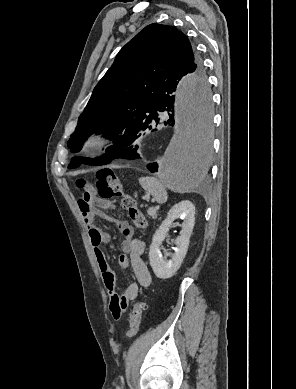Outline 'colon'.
<instances>
[{"label": "colon", "mask_w": 296, "mask_h": 389, "mask_svg": "<svg viewBox=\"0 0 296 389\" xmlns=\"http://www.w3.org/2000/svg\"><path fill=\"white\" fill-rule=\"evenodd\" d=\"M76 186L86 194L93 191V186L83 178L76 181ZM95 187L101 199L109 202L120 200L121 207L128 212L132 222L139 230L143 231L147 228L144 214L137 207L135 199L123 191L122 185L112 169L103 168L96 173ZM146 309L147 304L143 300L134 304L130 315V326L126 333L127 337H134L137 334L142 314ZM121 315L119 311H116L113 317L118 320Z\"/></svg>", "instance_id": "1"}]
</instances>
